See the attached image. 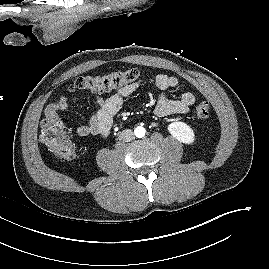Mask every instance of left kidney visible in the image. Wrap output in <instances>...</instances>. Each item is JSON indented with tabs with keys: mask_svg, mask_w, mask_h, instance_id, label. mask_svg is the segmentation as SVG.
I'll return each instance as SVG.
<instances>
[{
	"mask_svg": "<svg viewBox=\"0 0 269 269\" xmlns=\"http://www.w3.org/2000/svg\"><path fill=\"white\" fill-rule=\"evenodd\" d=\"M168 131L178 141L184 144H192L195 141V134L192 128L184 122H172L168 125Z\"/></svg>",
	"mask_w": 269,
	"mask_h": 269,
	"instance_id": "obj_1",
	"label": "left kidney"
}]
</instances>
